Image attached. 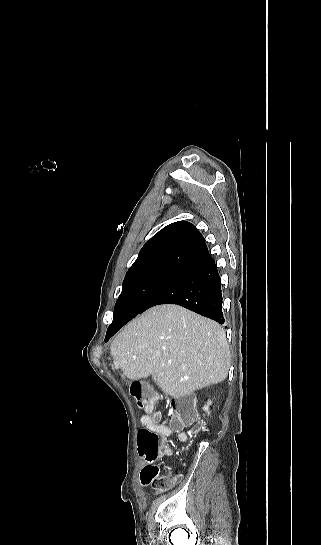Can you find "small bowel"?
I'll return each mask as SVG.
<instances>
[{
  "instance_id": "small-bowel-1",
  "label": "small bowel",
  "mask_w": 321,
  "mask_h": 545,
  "mask_svg": "<svg viewBox=\"0 0 321 545\" xmlns=\"http://www.w3.org/2000/svg\"><path fill=\"white\" fill-rule=\"evenodd\" d=\"M166 419L161 418L159 413H156L155 416L144 415L140 419V424L143 427L150 429L151 431L157 433L163 438H167L173 435H176L181 441L186 440V434L183 431L175 430L166 424ZM172 454V449L166 443H163L161 448V455L170 456ZM153 474H158L157 466L155 465V460H146L145 466L142 468L140 473V484L147 485L150 483L149 478ZM180 479V475H178Z\"/></svg>"
}]
</instances>
